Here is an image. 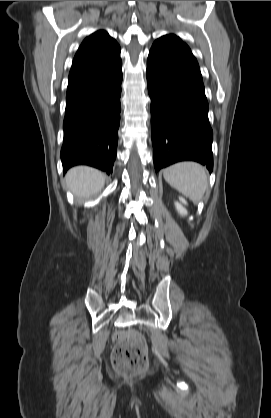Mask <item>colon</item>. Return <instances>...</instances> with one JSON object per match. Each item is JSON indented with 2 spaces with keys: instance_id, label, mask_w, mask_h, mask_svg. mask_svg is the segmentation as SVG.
Segmentation results:
<instances>
[{
  "instance_id": "5ec220e1",
  "label": "colon",
  "mask_w": 271,
  "mask_h": 418,
  "mask_svg": "<svg viewBox=\"0 0 271 418\" xmlns=\"http://www.w3.org/2000/svg\"><path fill=\"white\" fill-rule=\"evenodd\" d=\"M112 365L123 375L144 371L148 366L147 345L144 338L136 332L118 333L112 352Z\"/></svg>"
}]
</instances>
